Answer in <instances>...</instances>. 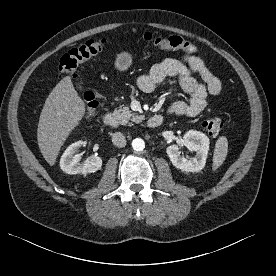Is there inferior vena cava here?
I'll use <instances>...</instances> for the list:
<instances>
[{
    "instance_id": "1",
    "label": "inferior vena cava",
    "mask_w": 276,
    "mask_h": 276,
    "mask_svg": "<svg viewBox=\"0 0 276 276\" xmlns=\"http://www.w3.org/2000/svg\"><path fill=\"white\" fill-rule=\"evenodd\" d=\"M112 143L116 147H125L126 146V138L121 132H115L112 135Z\"/></svg>"
}]
</instances>
